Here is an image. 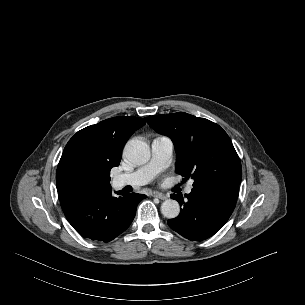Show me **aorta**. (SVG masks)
<instances>
[{
  "label": "aorta",
  "mask_w": 305,
  "mask_h": 305,
  "mask_svg": "<svg viewBox=\"0 0 305 305\" xmlns=\"http://www.w3.org/2000/svg\"><path fill=\"white\" fill-rule=\"evenodd\" d=\"M124 154L131 163L141 165L150 159V148L147 143L132 139L126 143ZM161 212L168 219L176 218L180 213L179 203L176 200L167 199L161 205Z\"/></svg>",
  "instance_id": "aorta-1"
}]
</instances>
